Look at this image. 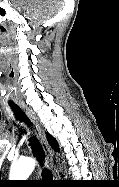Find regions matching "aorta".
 Here are the masks:
<instances>
[{
  "label": "aorta",
  "mask_w": 119,
  "mask_h": 187,
  "mask_svg": "<svg viewBox=\"0 0 119 187\" xmlns=\"http://www.w3.org/2000/svg\"><path fill=\"white\" fill-rule=\"evenodd\" d=\"M35 168L32 158H23L13 163L10 169V180H26Z\"/></svg>",
  "instance_id": "aorta-1"
}]
</instances>
